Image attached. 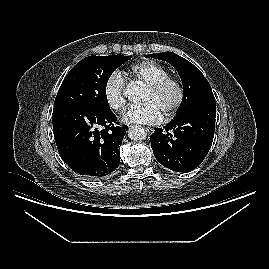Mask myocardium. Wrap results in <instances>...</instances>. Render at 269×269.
<instances>
[{
	"label": "myocardium",
	"instance_id": "obj_1",
	"mask_svg": "<svg viewBox=\"0 0 269 269\" xmlns=\"http://www.w3.org/2000/svg\"><path fill=\"white\" fill-rule=\"evenodd\" d=\"M171 85L176 88L177 98L172 107L163 115L164 119L172 118L183 105L185 100L184 84L180 79L168 76L149 86V90L151 92H153L154 94H158Z\"/></svg>",
	"mask_w": 269,
	"mask_h": 269
}]
</instances>
